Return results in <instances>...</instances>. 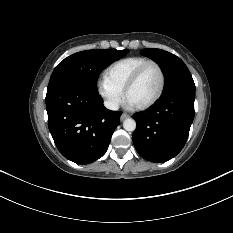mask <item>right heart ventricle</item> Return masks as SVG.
I'll return each mask as SVG.
<instances>
[{
	"instance_id": "e07e8e85",
	"label": "right heart ventricle",
	"mask_w": 233,
	"mask_h": 233,
	"mask_svg": "<svg viewBox=\"0 0 233 233\" xmlns=\"http://www.w3.org/2000/svg\"><path fill=\"white\" fill-rule=\"evenodd\" d=\"M148 60V58L142 56H131L120 59L106 69L105 78L123 91L134 71Z\"/></svg>"
}]
</instances>
